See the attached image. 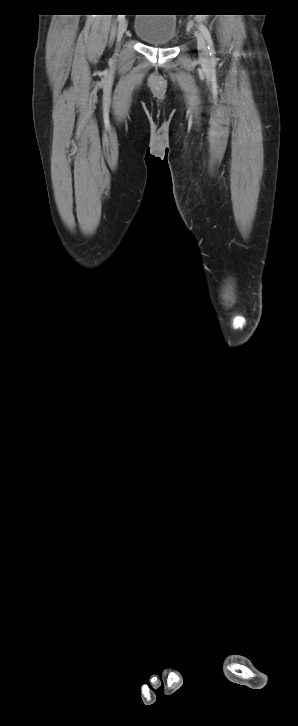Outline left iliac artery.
Returning <instances> with one entry per match:
<instances>
[{"mask_svg": "<svg viewBox=\"0 0 298 726\" xmlns=\"http://www.w3.org/2000/svg\"><path fill=\"white\" fill-rule=\"evenodd\" d=\"M199 29L202 32V34L208 44V50H209V54L211 56V61L214 62L215 61V50H214V44H213V40L211 37V33L208 30V28L202 23L199 25Z\"/></svg>", "mask_w": 298, "mask_h": 726, "instance_id": "left-iliac-artery-1", "label": "left iliac artery"}]
</instances>
